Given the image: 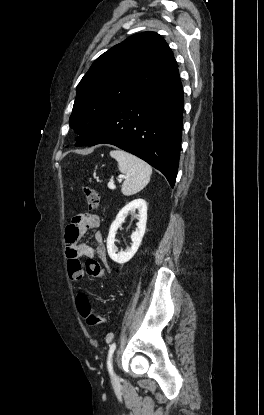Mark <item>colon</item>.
<instances>
[{
    "mask_svg": "<svg viewBox=\"0 0 264 415\" xmlns=\"http://www.w3.org/2000/svg\"><path fill=\"white\" fill-rule=\"evenodd\" d=\"M84 197L86 199L89 210H95L100 205V194L91 187H84ZM69 269L75 278H80L82 273H86L91 278H101L104 274V268L98 262L89 259L85 263L72 261ZM76 307L80 316L86 321L90 327H98L103 323L102 316L92 308V305L84 293L78 294L76 298Z\"/></svg>",
    "mask_w": 264,
    "mask_h": 415,
    "instance_id": "colon-1",
    "label": "colon"
}]
</instances>
